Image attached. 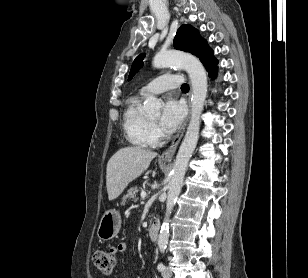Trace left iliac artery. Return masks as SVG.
Instances as JSON below:
<instances>
[{"label":"left iliac artery","instance_id":"obj_1","mask_svg":"<svg viewBox=\"0 0 308 278\" xmlns=\"http://www.w3.org/2000/svg\"><path fill=\"white\" fill-rule=\"evenodd\" d=\"M161 252H164V249H161ZM157 269L159 271H163L165 269V265L162 262H160L157 266Z\"/></svg>","mask_w":308,"mask_h":278}]
</instances>
